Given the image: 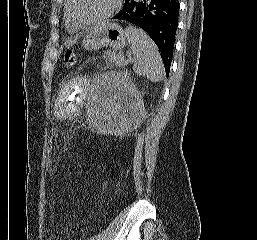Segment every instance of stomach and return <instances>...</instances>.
I'll return each instance as SVG.
<instances>
[{"label":"stomach","instance_id":"0dacf381","mask_svg":"<svg viewBox=\"0 0 257 240\" xmlns=\"http://www.w3.org/2000/svg\"><path fill=\"white\" fill-rule=\"evenodd\" d=\"M88 51L103 47H112L121 50L126 45V32L115 22L106 21L94 26L82 42Z\"/></svg>","mask_w":257,"mask_h":240}]
</instances>
